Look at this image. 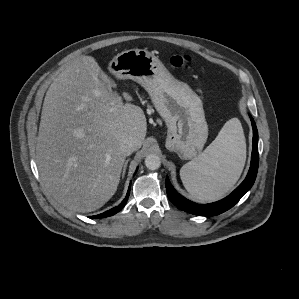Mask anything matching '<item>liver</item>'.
<instances>
[{
    "label": "liver",
    "instance_id": "1",
    "mask_svg": "<svg viewBox=\"0 0 299 299\" xmlns=\"http://www.w3.org/2000/svg\"><path fill=\"white\" fill-rule=\"evenodd\" d=\"M95 58L80 56L52 82L43 103L36 163L49 194L69 210L101 208L116 192L126 158L120 143L145 139L143 110L112 90Z\"/></svg>",
    "mask_w": 299,
    "mask_h": 299
}]
</instances>
